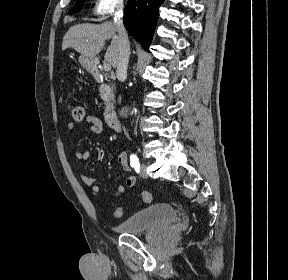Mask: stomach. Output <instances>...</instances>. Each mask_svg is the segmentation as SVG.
<instances>
[{
    "label": "stomach",
    "instance_id": "0dacf381",
    "mask_svg": "<svg viewBox=\"0 0 288 280\" xmlns=\"http://www.w3.org/2000/svg\"><path fill=\"white\" fill-rule=\"evenodd\" d=\"M79 63L81 64L82 67L86 69H91L96 65L97 59L95 57H88L81 55L79 57Z\"/></svg>",
    "mask_w": 288,
    "mask_h": 280
}]
</instances>
